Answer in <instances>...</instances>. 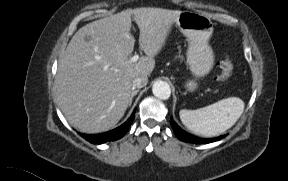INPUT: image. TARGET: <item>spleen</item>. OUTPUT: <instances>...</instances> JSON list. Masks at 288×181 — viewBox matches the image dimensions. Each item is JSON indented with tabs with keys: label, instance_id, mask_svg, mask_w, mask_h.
Wrapping results in <instances>:
<instances>
[{
	"label": "spleen",
	"instance_id": "3e777b00",
	"mask_svg": "<svg viewBox=\"0 0 288 181\" xmlns=\"http://www.w3.org/2000/svg\"><path fill=\"white\" fill-rule=\"evenodd\" d=\"M244 106L240 98L229 97L200 109H182L179 116L193 133L213 137L231 128L242 115Z\"/></svg>",
	"mask_w": 288,
	"mask_h": 181
}]
</instances>
